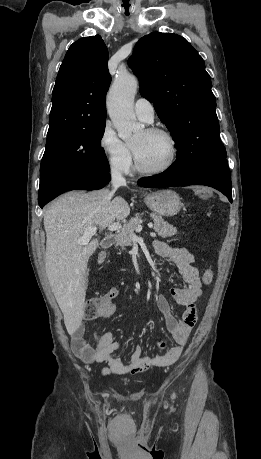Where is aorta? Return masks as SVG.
<instances>
[{"label": "aorta", "mask_w": 261, "mask_h": 459, "mask_svg": "<svg viewBox=\"0 0 261 459\" xmlns=\"http://www.w3.org/2000/svg\"><path fill=\"white\" fill-rule=\"evenodd\" d=\"M137 88L134 76L121 73L116 76L107 96L109 116L124 141L136 138L144 129V125L137 122L133 109Z\"/></svg>", "instance_id": "1"}]
</instances>
